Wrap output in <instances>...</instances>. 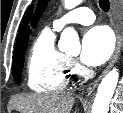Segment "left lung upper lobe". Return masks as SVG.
Segmentation results:
<instances>
[{
  "label": "left lung upper lobe",
  "mask_w": 123,
  "mask_h": 113,
  "mask_svg": "<svg viewBox=\"0 0 123 113\" xmlns=\"http://www.w3.org/2000/svg\"><path fill=\"white\" fill-rule=\"evenodd\" d=\"M48 2L49 0H39L38 1L37 9H36V12L31 22V25L33 28L36 27L39 18L41 17V15L43 14L44 10L46 9L48 5Z\"/></svg>",
  "instance_id": "5c2ea615"
}]
</instances>
